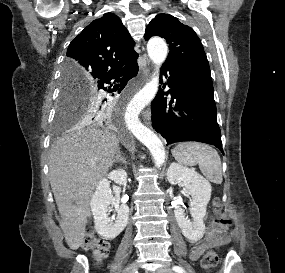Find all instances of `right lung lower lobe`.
<instances>
[{"instance_id": "1", "label": "right lung lower lobe", "mask_w": 285, "mask_h": 273, "mask_svg": "<svg viewBox=\"0 0 285 273\" xmlns=\"http://www.w3.org/2000/svg\"><path fill=\"white\" fill-rule=\"evenodd\" d=\"M139 67L137 61L119 68L117 70L108 72L104 76L97 78L92 84L97 89H103L108 92H118L120 93L123 88L126 86L127 82L135 77L138 73ZM104 84H109L110 86L107 90V87ZM114 96V94H112ZM111 118V110L104 106L102 115L100 116L99 120L101 121L104 119V122L108 121Z\"/></svg>"}]
</instances>
